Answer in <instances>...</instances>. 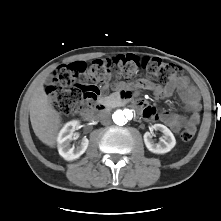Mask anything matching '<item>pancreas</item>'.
<instances>
[{
    "instance_id": "1",
    "label": "pancreas",
    "mask_w": 221,
    "mask_h": 221,
    "mask_svg": "<svg viewBox=\"0 0 221 221\" xmlns=\"http://www.w3.org/2000/svg\"><path fill=\"white\" fill-rule=\"evenodd\" d=\"M117 102H118V99L114 94L104 98V103L106 105H113V104H116Z\"/></svg>"
}]
</instances>
